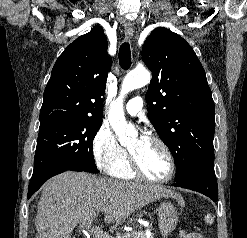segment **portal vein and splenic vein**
<instances>
[{
  "label": "portal vein and splenic vein",
  "instance_id": "18ae733b",
  "mask_svg": "<svg viewBox=\"0 0 247 238\" xmlns=\"http://www.w3.org/2000/svg\"><path fill=\"white\" fill-rule=\"evenodd\" d=\"M96 217V215H94ZM93 219V217H90L86 221H83L82 225L85 229H87L91 234H93L96 238H112L106 233H103V231L96 229L94 227H91L90 221Z\"/></svg>",
  "mask_w": 247,
  "mask_h": 238
}]
</instances>
